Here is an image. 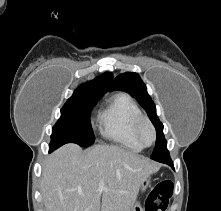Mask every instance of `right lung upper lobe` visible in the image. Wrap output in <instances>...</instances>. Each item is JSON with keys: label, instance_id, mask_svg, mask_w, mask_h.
Here are the masks:
<instances>
[{"label": "right lung upper lobe", "instance_id": "obj_1", "mask_svg": "<svg viewBox=\"0 0 221 211\" xmlns=\"http://www.w3.org/2000/svg\"><path fill=\"white\" fill-rule=\"evenodd\" d=\"M112 78V73H104L94 80L81 85L68 100L79 97L103 96L107 91L112 90Z\"/></svg>", "mask_w": 221, "mask_h": 211}]
</instances>
